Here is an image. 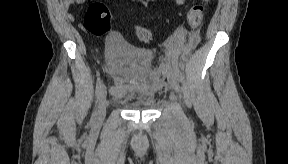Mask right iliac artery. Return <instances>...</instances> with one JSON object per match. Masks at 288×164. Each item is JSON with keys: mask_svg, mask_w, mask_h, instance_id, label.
Returning <instances> with one entry per match:
<instances>
[{"mask_svg": "<svg viewBox=\"0 0 288 164\" xmlns=\"http://www.w3.org/2000/svg\"><path fill=\"white\" fill-rule=\"evenodd\" d=\"M103 89V83L100 77L97 78V83H96V98H99V95ZM95 115H93L94 117Z\"/></svg>", "mask_w": 288, "mask_h": 164, "instance_id": "82829eb1", "label": "right iliac artery"}]
</instances>
